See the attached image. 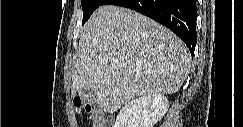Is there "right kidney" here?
I'll return each instance as SVG.
<instances>
[{
	"label": "right kidney",
	"mask_w": 243,
	"mask_h": 127,
	"mask_svg": "<svg viewBox=\"0 0 243 127\" xmlns=\"http://www.w3.org/2000/svg\"><path fill=\"white\" fill-rule=\"evenodd\" d=\"M168 107V99L161 93L137 97L122 107L114 127H153Z\"/></svg>",
	"instance_id": "right-kidney-1"
}]
</instances>
